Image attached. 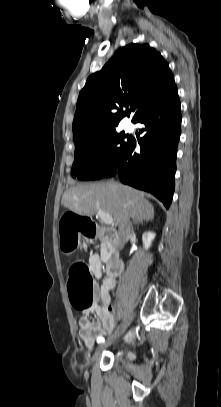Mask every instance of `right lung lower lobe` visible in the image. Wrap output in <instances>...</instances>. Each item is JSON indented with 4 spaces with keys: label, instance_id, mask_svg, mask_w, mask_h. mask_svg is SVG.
I'll return each instance as SVG.
<instances>
[{
    "label": "right lung lower lobe",
    "instance_id": "98d812e1",
    "mask_svg": "<svg viewBox=\"0 0 221 407\" xmlns=\"http://www.w3.org/2000/svg\"><path fill=\"white\" fill-rule=\"evenodd\" d=\"M142 123L140 153L134 152L136 141L119 162L102 178L118 173L124 184L151 192L169 208L174 192L177 145L180 138L181 110L176 86L160 101L143 111L134 123Z\"/></svg>",
    "mask_w": 221,
    "mask_h": 407
}]
</instances>
